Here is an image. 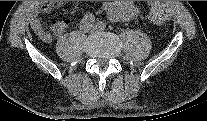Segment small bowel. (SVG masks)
Wrapping results in <instances>:
<instances>
[{
    "label": "small bowel",
    "mask_w": 207,
    "mask_h": 121,
    "mask_svg": "<svg viewBox=\"0 0 207 121\" xmlns=\"http://www.w3.org/2000/svg\"><path fill=\"white\" fill-rule=\"evenodd\" d=\"M65 5L64 2H43L37 4L29 14V22L37 34V36L44 42H50L52 40V34L48 32L43 23L40 20L41 14H48L54 10H57ZM104 10L106 16L112 21L127 20L137 14V10L132 2H105ZM69 19L55 20L51 23V32L58 36L61 35L70 24Z\"/></svg>",
    "instance_id": "c3829d8e"
}]
</instances>
